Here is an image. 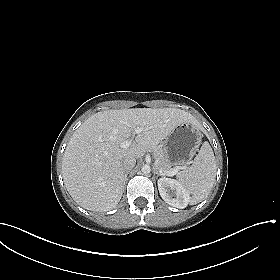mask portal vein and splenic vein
<instances>
[{"label": "portal vein and splenic vein", "mask_w": 280, "mask_h": 280, "mask_svg": "<svg viewBox=\"0 0 280 280\" xmlns=\"http://www.w3.org/2000/svg\"><path fill=\"white\" fill-rule=\"evenodd\" d=\"M143 131V129L142 128H136L135 129V134H139V133H141ZM131 143H132V140H126V141H123L122 143H121V147L122 148H127V147H129L130 145H131ZM182 169H185V166H177V167H174L172 170H170V171H164V174L165 175H167V176H174V175H176L180 170H182Z\"/></svg>", "instance_id": "obj_1"}]
</instances>
